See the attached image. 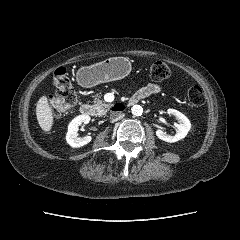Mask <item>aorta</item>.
Returning <instances> with one entry per match:
<instances>
[{"instance_id":"762f6f07","label":"aorta","mask_w":240,"mask_h":240,"mask_svg":"<svg viewBox=\"0 0 240 240\" xmlns=\"http://www.w3.org/2000/svg\"><path fill=\"white\" fill-rule=\"evenodd\" d=\"M131 112L134 116H141L143 113V108L140 105H134L131 108Z\"/></svg>"}]
</instances>
